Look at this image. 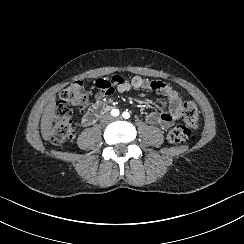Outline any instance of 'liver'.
Instances as JSON below:
<instances>
[{
	"instance_id": "6515ba94",
	"label": "liver",
	"mask_w": 244,
	"mask_h": 244,
	"mask_svg": "<svg viewBox=\"0 0 244 244\" xmlns=\"http://www.w3.org/2000/svg\"><path fill=\"white\" fill-rule=\"evenodd\" d=\"M54 109L55 96H52L41 118V134L44 140H49L51 134Z\"/></svg>"
}]
</instances>
